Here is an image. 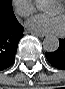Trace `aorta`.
Instances as JSON below:
<instances>
[{"label":"aorta","mask_w":65,"mask_h":89,"mask_svg":"<svg viewBox=\"0 0 65 89\" xmlns=\"http://www.w3.org/2000/svg\"><path fill=\"white\" fill-rule=\"evenodd\" d=\"M50 5L49 0H36L35 6L39 11H47ZM43 48L47 52H55L59 48V40L56 36H46L43 40Z\"/></svg>","instance_id":"aorta-1"}]
</instances>
